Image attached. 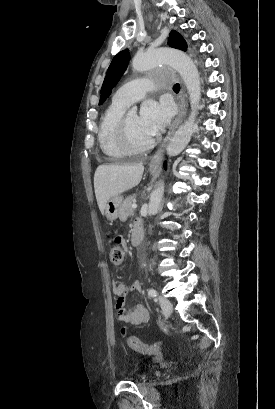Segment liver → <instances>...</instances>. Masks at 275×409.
Returning <instances> with one entry per match:
<instances>
[{"label":"liver","instance_id":"liver-1","mask_svg":"<svg viewBox=\"0 0 275 409\" xmlns=\"http://www.w3.org/2000/svg\"><path fill=\"white\" fill-rule=\"evenodd\" d=\"M144 166L143 162L138 164H99L94 174V188L98 207L104 215L106 202L112 196H118L128 188L139 184Z\"/></svg>","mask_w":275,"mask_h":409}]
</instances>
